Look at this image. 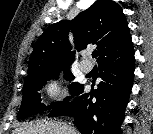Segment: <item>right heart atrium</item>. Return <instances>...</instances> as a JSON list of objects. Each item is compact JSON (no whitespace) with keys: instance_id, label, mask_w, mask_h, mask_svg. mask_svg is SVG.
<instances>
[{"instance_id":"1","label":"right heart atrium","mask_w":153,"mask_h":134,"mask_svg":"<svg viewBox=\"0 0 153 134\" xmlns=\"http://www.w3.org/2000/svg\"><path fill=\"white\" fill-rule=\"evenodd\" d=\"M45 91L51 99L58 98L62 93L60 81L55 78L49 80L46 84Z\"/></svg>"}]
</instances>
